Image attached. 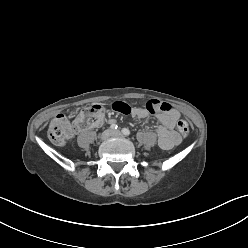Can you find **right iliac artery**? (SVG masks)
Here are the masks:
<instances>
[{
  "instance_id": "obj_1",
  "label": "right iliac artery",
  "mask_w": 248,
  "mask_h": 248,
  "mask_svg": "<svg viewBox=\"0 0 248 248\" xmlns=\"http://www.w3.org/2000/svg\"><path fill=\"white\" fill-rule=\"evenodd\" d=\"M117 127L118 126L115 123L111 124V126H110V128L113 129V130L117 129Z\"/></svg>"
}]
</instances>
